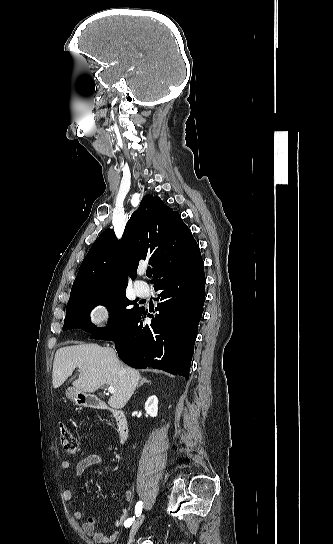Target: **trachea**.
I'll use <instances>...</instances> for the list:
<instances>
[{
  "label": "trachea",
  "instance_id": "trachea-1",
  "mask_svg": "<svg viewBox=\"0 0 333 544\" xmlns=\"http://www.w3.org/2000/svg\"><path fill=\"white\" fill-rule=\"evenodd\" d=\"M146 275L150 278L152 276V270L151 269H148L146 271Z\"/></svg>",
  "mask_w": 333,
  "mask_h": 544
}]
</instances>
